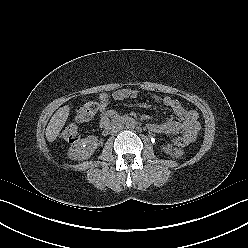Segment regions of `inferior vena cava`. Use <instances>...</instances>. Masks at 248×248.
<instances>
[{
  "instance_id": "602c4592",
  "label": "inferior vena cava",
  "mask_w": 248,
  "mask_h": 248,
  "mask_svg": "<svg viewBox=\"0 0 248 248\" xmlns=\"http://www.w3.org/2000/svg\"><path fill=\"white\" fill-rule=\"evenodd\" d=\"M122 128L121 127H118V128H116V131H119V130H121Z\"/></svg>"
}]
</instances>
